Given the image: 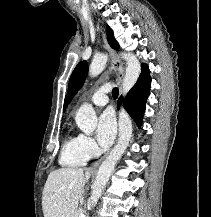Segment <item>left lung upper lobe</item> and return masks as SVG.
<instances>
[{
  "label": "left lung upper lobe",
  "instance_id": "1",
  "mask_svg": "<svg viewBox=\"0 0 211 217\" xmlns=\"http://www.w3.org/2000/svg\"><path fill=\"white\" fill-rule=\"evenodd\" d=\"M107 40L110 46L118 50L119 45L116 42L113 32L110 29L109 26H107ZM145 64V63H143ZM88 73V65L86 61L80 62L74 69V71L71 74L69 85H68V102L71 101V99L74 97V95L77 93V91L82 87L84 80Z\"/></svg>",
  "mask_w": 211,
  "mask_h": 217
}]
</instances>
